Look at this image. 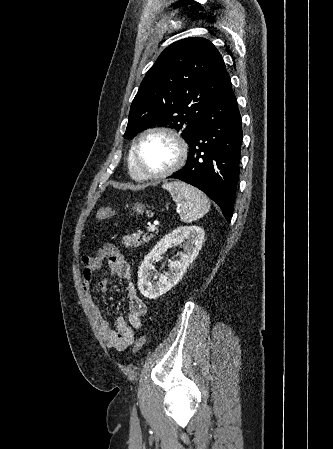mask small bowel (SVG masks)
<instances>
[{
  "label": "small bowel",
  "instance_id": "c3829d8e",
  "mask_svg": "<svg viewBox=\"0 0 333 449\" xmlns=\"http://www.w3.org/2000/svg\"><path fill=\"white\" fill-rule=\"evenodd\" d=\"M104 261H107L112 277H105L99 281L98 288L101 292H107L109 290L113 278L124 279L129 282L127 287L128 319L118 317L114 328L103 316L91 293L94 274L102 268ZM82 265V288L99 333L107 346L115 348L118 351L127 349L134 344L135 330L141 328L142 319L147 313L146 304L138 296L134 285L130 282L131 269L128 262L123 258L114 244L107 243L96 255L84 256L82 258Z\"/></svg>",
  "mask_w": 333,
  "mask_h": 449
}]
</instances>
